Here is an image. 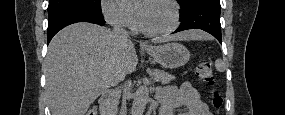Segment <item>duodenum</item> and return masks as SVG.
<instances>
[{
  "mask_svg": "<svg viewBox=\"0 0 285 115\" xmlns=\"http://www.w3.org/2000/svg\"><path fill=\"white\" fill-rule=\"evenodd\" d=\"M111 94L108 90L103 91L99 96V111L101 115H113L110 105Z\"/></svg>",
  "mask_w": 285,
  "mask_h": 115,
  "instance_id": "duodenum-1",
  "label": "duodenum"
}]
</instances>
